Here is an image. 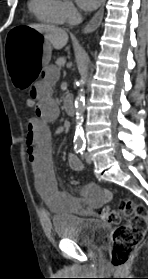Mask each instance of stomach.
Returning a JSON list of instances; mask_svg holds the SVG:
<instances>
[{"mask_svg": "<svg viewBox=\"0 0 148 279\" xmlns=\"http://www.w3.org/2000/svg\"><path fill=\"white\" fill-rule=\"evenodd\" d=\"M7 49L5 55L9 59L7 79H13L14 91H31L33 79L43 72L51 57L50 43L42 33L34 30V25H11L3 40Z\"/></svg>", "mask_w": 148, "mask_h": 279, "instance_id": "obj_1", "label": "stomach"}]
</instances>
